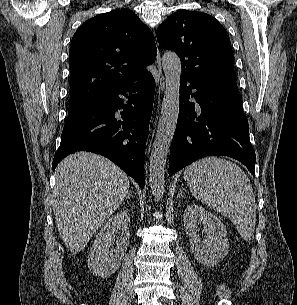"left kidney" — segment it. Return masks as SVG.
<instances>
[{
  "label": "left kidney",
  "instance_id": "5707ae66",
  "mask_svg": "<svg viewBox=\"0 0 297 305\" xmlns=\"http://www.w3.org/2000/svg\"><path fill=\"white\" fill-rule=\"evenodd\" d=\"M184 229L190 238L191 251L201 264H217L228 253L227 231L220 219L204 208L191 204L183 215ZM202 223L207 237L201 241L198 225Z\"/></svg>",
  "mask_w": 297,
  "mask_h": 305
}]
</instances>
